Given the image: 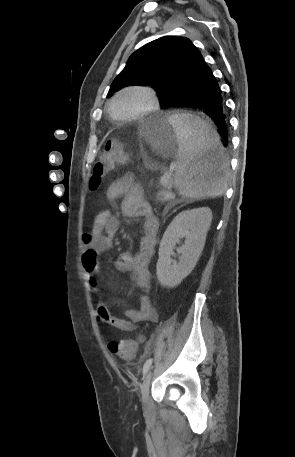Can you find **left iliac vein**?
<instances>
[{"label":"left iliac vein","instance_id":"4c4485c4","mask_svg":"<svg viewBox=\"0 0 295 457\" xmlns=\"http://www.w3.org/2000/svg\"><path fill=\"white\" fill-rule=\"evenodd\" d=\"M151 378H152V371H149L148 374L145 376L144 381L141 385V401L144 404L148 401Z\"/></svg>","mask_w":295,"mask_h":457}]
</instances>
